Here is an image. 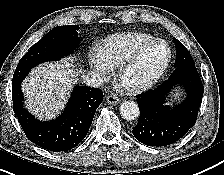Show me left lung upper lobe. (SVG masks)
<instances>
[{"label": "left lung upper lobe", "mask_w": 224, "mask_h": 175, "mask_svg": "<svg viewBox=\"0 0 224 175\" xmlns=\"http://www.w3.org/2000/svg\"><path fill=\"white\" fill-rule=\"evenodd\" d=\"M175 46H176V61L175 66L178 67L180 65H195L192 56L189 51L185 48V46L176 38H174Z\"/></svg>", "instance_id": "obj_1"}]
</instances>
